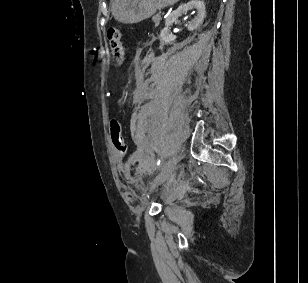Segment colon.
Here are the masks:
<instances>
[{
    "label": "colon",
    "mask_w": 308,
    "mask_h": 283,
    "mask_svg": "<svg viewBox=\"0 0 308 283\" xmlns=\"http://www.w3.org/2000/svg\"><path fill=\"white\" fill-rule=\"evenodd\" d=\"M110 51L115 61L120 62L124 56L121 32L117 28H108L106 32ZM111 141L120 155L126 153V143L123 134V128L119 120L113 119L110 122Z\"/></svg>",
    "instance_id": "1"
}]
</instances>
